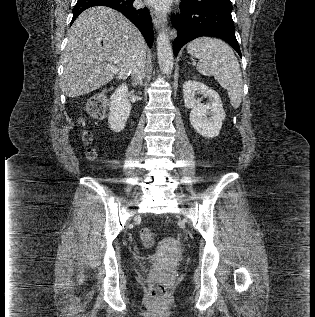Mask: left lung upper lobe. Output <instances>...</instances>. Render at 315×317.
<instances>
[{
    "label": "left lung upper lobe",
    "mask_w": 315,
    "mask_h": 317,
    "mask_svg": "<svg viewBox=\"0 0 315 317\" xmlns=\"http://www.w3.org/2000/svg\"><path fill=\"white\" fill-rule=\"evenodd\" d=\"M205 1L215 2V3L219 4V5L231 6L230 0H205Z\"/></svg>",
    "instance_id": "obj_1"
}]
</instances>
